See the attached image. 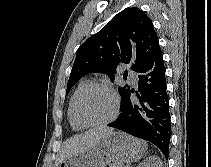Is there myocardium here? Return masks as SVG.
Wrapping results in <instances>:
<instances>
[{
    "label": "myocardium",
    "instance_id": "obj_1",
    "mask_svg": "<svg viewBox=\"0 0 211 167\" xmlns=\"http://www.w3.org/2000/svg\"><path fill=\"white\" fill-rule=\"evenodd\" d=\"M94 87H98V88H102L104 90H106L107 92H109V94L111 95L112 99H113V112L111 114V116L109 118H107L104 121H100V122H86L84 120H82L78 114H77V104L79 101V98L81 97V95L87 91L90 88H94ZM119 109H120V101H119V97L117 95V93L115 92V90L107 83L105 82H101V81H90L87 82L75 95L73 102H72V109H71V113H72V118L73 120L79 124L80 126L83 127H101V126H105L110 124L111 122H113L119 113Z\"/></svg>",
    "mask_w": 211,
    "mask_h": 167
}]
</instances>
